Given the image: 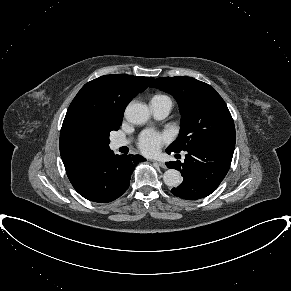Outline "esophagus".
Masks as SVG:
<instances>
[{"instance_id":"1","label":"esophagus","mask_w":291,"mask_h":291,"mask_svg":"<svg viewBox=\"0 0 291 291\" xmlns=\"http://www.w3.org/2000/svg\"><path fill=\"white\" fill-rule=\"evenodd\" d=\"M153 162H154L155 164H157L158 166H160L161 168H166L165 163L162 162V161L153 160Z\"/></svg>"}]
</instances>
